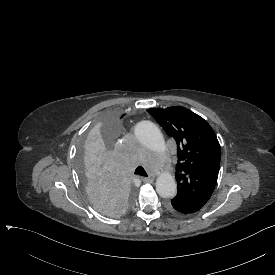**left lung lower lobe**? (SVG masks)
Wrapping results in <instances>:
<instances>
[{"label":"left lung lower lobe","instance_id":"1","mask_svg":"<svg viewBox=\"0 0 275 275\" xmlns=\"http://www.w3.org/2000/svg\"><path fill=\"white\" fill-rule=\"evenodd\" d=\"M169 211L174 215H185V214H192L188 210H186L183 207H180L178 205H175L171 203V205L168 206Z\"/></svg>","mask_w":275,"mask_h":275}]
</instances>
